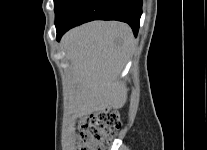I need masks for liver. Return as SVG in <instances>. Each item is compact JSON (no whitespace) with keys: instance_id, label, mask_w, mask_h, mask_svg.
Masks as SVG:
<instances>
[{"instance_id":"6515ba94","label":"liver","mask_w":207,"mask_h":150,"mask_svg":"<svg viewBox=\"0 0 207 150\" xmlns=\"http://www.w3.org/2000/svg\"><path fill=\"white\" fill-rule=\"evenodd\" d=\"M133 45L131 28L115 21L90 22L63 36L62 46L71 63L68 107L74 116L124 106L128 89L117 78Z\"/></svg>"}]
</instances>
